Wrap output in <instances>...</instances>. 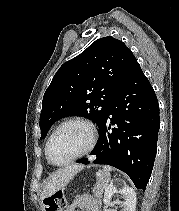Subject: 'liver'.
Wrapping results in <instances>:
<instances>
[{
	"label": "liver",
	"instance_id": "1",
	"mask_svg": "<svg viewBox=\"0 0 179 211\" xmlns=\"http://www.w3.org/2000/svg\"><path fill=\"white\" fill-rule=\"evenodd\" d=\"M82 168V165H71L57 170L46 182L41 199H45L47 196L63 189Z\"/></svg>",
	"mask_w": 179,
	"mask_h": 211
}]
</instances>
